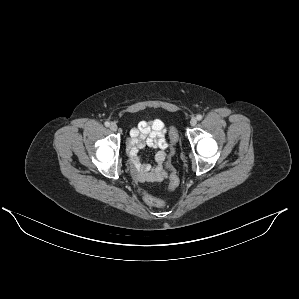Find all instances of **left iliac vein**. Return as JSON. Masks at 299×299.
Wrapping results in <instances>:
<instances>
[{
	"label": "left iliac vein",
	"instance_id": "1",
	"mask_svg": "<svg viewBox=\"0 0 299 299\" xmlns=\"http://www.w3.org/2000/svg\"><path fill=\"white\" fill-rule=\"evenodd\" d=\"M190 124H191V126H195L197 124V118H195V117L191 118Z\"/></svg>",
	"mask_w": 299,
	"mask_h": 299
}]
</instances>
